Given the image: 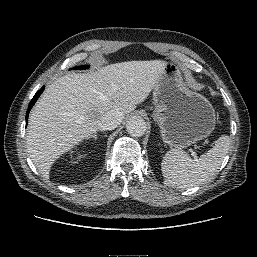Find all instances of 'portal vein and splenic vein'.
<instances>
[{"instance_id":"18ae733b","label":"portal vein and splenic vein","mask_w":257,"mask_h":257,"mask_svg":"<svg viewBox=\"0 0 257 257\" xmlns=\"http://www.w3.org/2000/svg\"><path fill=\"white\" fill-rule=\"evenodd\" d=\"M190 152H191V155H192L194 158H196V157H197V154H196V152H195V151L190 150Z\"/></svg>"}]
</instances>
